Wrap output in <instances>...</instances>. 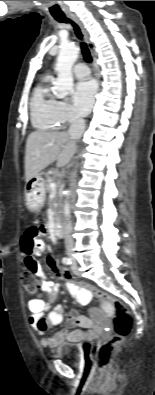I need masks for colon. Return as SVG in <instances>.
<instances>
[{"instance_id": "5ec220e1", "label": "colon", "mask_w": 155, "mask_h": 395, "mask_svg": "<svg viewBox=\"0 0 155 395\" xmlns=\"http://www.w3.org/2000/svg\"><path fill=\"white\" fill-rule=\"evenodd\" d=\"M55 249L59 250L60 246L56 245ZM49 254L50 255H46L45 260L48 262L49 267H53V270L57 271L58 267L56 266L57 262L53 255L54 251L50 250ZM24 265L25 271L21 275V281L27 295L34 297L41 289V283L38 281L32 271L31 257L28 256L24 260ZM61 277L64 279V284H76L79 285L80 288H86L87 292L95 294V296L102 298L107 304H111L112 306L111 312H113V335L109 339L102 341L97 346L95 352L97 364L101 368H105L110 364L114 353L122 344L125 337L131 333L134 323L133 316L124 303L106 295L104 289H100V287H96V285H90L89 281H83L82 278H69V272H62Z\"/></svg>"}]
</instances>
